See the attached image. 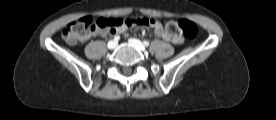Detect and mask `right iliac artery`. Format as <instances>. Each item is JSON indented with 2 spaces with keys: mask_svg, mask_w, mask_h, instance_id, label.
I'll return each instance as SVG.
<instances>
[{
  "mask_svg": "<svg viewBox=\"0 0 276 120\" xmlns=\"http://www.w3.org/2000/svg\"><path fill=\"white\" fill-rule=\"evenodd\" d=\"M120 39V36L119 35H116L115 37H114V41H118Z\"/></svg>",
  "mask_w": 276,
  "mask_h": 120,
  "instance_id": "right-iliac-artery-1",
  "label": "right iliac artery"
}]
</instances>
